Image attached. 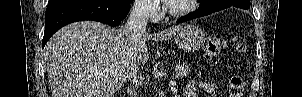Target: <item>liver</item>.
Here are the masks:
<instances>
[{"mask_svg": "<svg viewBox=\"0 0 302 97\" xmlns=\"http://www.w3.org/2000/svg\"><path fill=\"white\" fill-rule=\"evenodd\" d=\"M180 29L175 26L133 38L125 35L123 27L94 21L63 27L44 48L53 97H112L148 61L146 41L170 39Z\"/></svg>", "mask_w": 302, "mask_h": 97, "instance_id": "6515ba94", "label": "liver"}]
</instances>
